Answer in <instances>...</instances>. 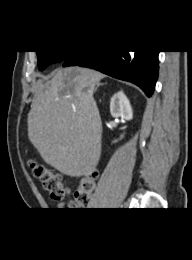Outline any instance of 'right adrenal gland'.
<instances>
[{"mask_svg":"<svg viewBox=\"0 0 192 260\" xmlns=\"http://www.w3.org/2000/svg\"><path fill=\"white\" fill-rule=\"evenodd\" d=\"M101 85H103V84H102V83H98V84H97V87L95 88V90H94V91L96 92V91H97V89H98V88H99Z\"/></svg>","mask_w":192,"mask_h":260,"instance_id":"right-adrenal-gland-1","label":"right adrenal gland"}]
</instances>
